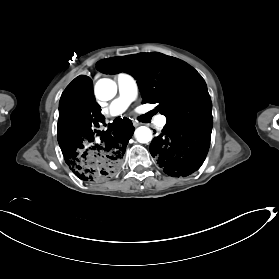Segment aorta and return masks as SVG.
Instances as JSON below:
<instances>
[{"label":"aorta","instance_id":"obj_1","mask_svg":"<svg viewBox=\"0 0 279 279\" xmlns=\"http://www.w3.org/2000/svg\"><path fill=\"white\" fill-rule=\"evenodd\" d=\"M95 95L99 100H111L117 93L116 83L108 78H103L97 81L95 85ZM135 136L138 142L148 143L152 139V132L146 126H140L135 130Z\"/></svg>","mask_w":279,"mask_h":279}]
</instances>
